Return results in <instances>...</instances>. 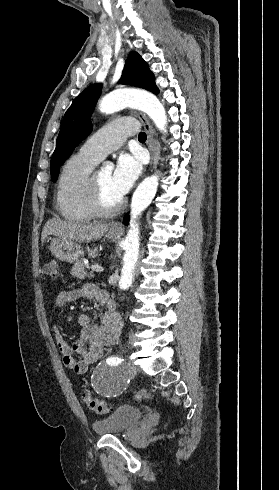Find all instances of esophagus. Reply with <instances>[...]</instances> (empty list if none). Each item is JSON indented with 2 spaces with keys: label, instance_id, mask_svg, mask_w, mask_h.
<instances>
[{
  "label": "esophagus",
  "instance_id": "esophagus-1",
  "mask_svg": "<svg viewBox=\"0 0 279 490\" xmlns=\"http://www.w3.org/2000/svg\"><path fill=\"white\" fill-rule=\"evenodd\" d=\"M139 120L141 121L146 133H147V147L150 152V165L156 166L158 162V158L156 157L157 149L155 146L154 132L153 128L148 120V118L141 112H136ZM121 228V225L118 222L111 224V229L118 230Z\"/></svg>",
  "mask_w": 279,
  "mask_h": 490
}]
</instances>
